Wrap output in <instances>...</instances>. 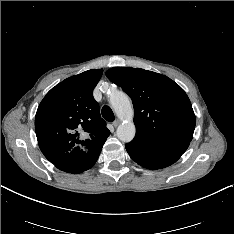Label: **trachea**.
I'll return each instance as SVG.
<instances>
[{
	"instance_id": "obj_1",
	"label": "trachea",
	"mask_w": 234,
	"mask_h": 234,
	"mask_svg": "<svg viewBox=\"0 0 234 234\" xmlns=\"http://www.w3.org/2000/svg\"><path fill=\"white\" fill-rule=\"evenodd\" d=\"M101 113L103 118L106 119L107 121L109 122L114 121L115 116L112 109L109 106L107 105L103 106Z\"/></svg>"
}]
</instances>
